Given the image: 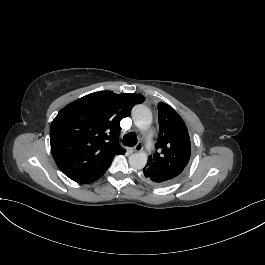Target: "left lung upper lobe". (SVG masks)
I'll list each match as a JSON object with an SVG mask.
<instances>
[{
	"label": "left lung upper lobe",
	"instance_id": "5c2ea615",
	"mask_svg": "<svg viewBox=\"0 0 265 265\" xmlns=\"http://www.w3.org/2000/svg\"><path fill=\"white\" fill-rule=\"evenodd\" d=\"M159 138L155 152L148 158L143 176L152 184L166 186L175 182L187 166L191 142L187 127L178 113L169 105L158 104Z\"/></svg>",
	"mask_w": 265,
	"mask_h": 265
}]
</instances>
